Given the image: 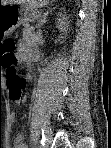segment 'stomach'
Masks as SVG:
<instances>
[{
  "label": "stomach",
  "mask_w": 111,
  "mask_h": 148,
  "mask_svg": "<svg viewBox=\"0 0 111 148\" xmlns=\"http://www.w3.org/2000/svg\"><path fill=\"white\" fill-rule=\"evenodd\" d=\"M36 4L33 0H23L18 5L9 4L0 7V40H5L21 24L23 12Z\"/></svg>",
  "instance_id": "stomach-1"
}]
</instances>
